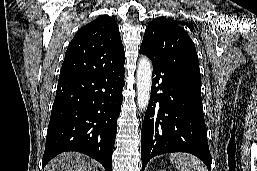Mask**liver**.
Instances as JSON below:
<instances>
[{
    "label": "liver",
    "instance_id": "obj_1",
    "mask_svg": "<svg viewBox=\"0 0 257 171\" xmlns=\"http://www.w3.org/2000/svg\"><path fill=\"white\" fill-rule=\"evenodd\" d=\"M44 171H98L97 163L76 152H66L51 160Z\"/></svg>",
    "mask_w": 257,
    "mask_h": 171
}]
</instances>
